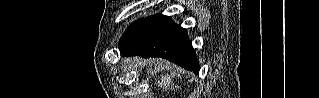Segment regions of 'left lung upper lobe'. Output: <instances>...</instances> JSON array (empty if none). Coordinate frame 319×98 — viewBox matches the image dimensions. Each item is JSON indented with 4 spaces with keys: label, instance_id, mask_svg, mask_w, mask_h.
Segmentation results:
<instances>
[{
    "label": "left lung upper lobe",
    "instance_id": "1",
    "mask_svg": "<svg viewBox=\"0 0 319 98\" xmlns=\"http://www.w3.org/2000/svg\"><path fill=\"white\" fill-rule=\"evenodd\" d=\"M143 19H139L133 24L129 26V28L126 30V32L122 35L120 42H119V48H121L123 45H125L135 34L139 26L141 25Z\"/></svg>",
    "mask_w": 319,
    "mask_h": 98
}]
</instances>
